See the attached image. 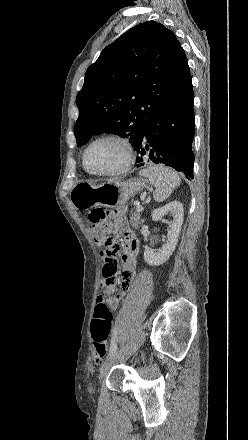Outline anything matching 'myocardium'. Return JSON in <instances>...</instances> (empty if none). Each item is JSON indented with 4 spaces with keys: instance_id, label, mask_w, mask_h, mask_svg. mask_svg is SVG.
I'll use <instances>...</instances> for the list:
<instances>
[{
    "instance_id": "f54148a6",
    "label": "myocardium",
    "mask_w": 248,
    "mask_h": 440,
    "mask_svg": "<svg viewBox=\"0 0 248 440\" xmlns=\"http://www.w3.org/2000/svg\"><path fill=\"white\" fill-rule=\"evenodd\" d=\"M105 140L116 141L123 146V148L125 149L124 161L120 167L113 169V170H110V171H104V172L92 171L89 169V167L87 165V154H88L89 150L96 143L101 142V141H105ZM133 159H134V151H133V148H132L130 141L127 138H125L119 134H114V133L104 134V135H101V136L95 138L86 147V149L83 152V156H82V162H83L84 169L91 175L101 176V177L117 176V175H121V174L127 172L132 165Z\"/></svg>"
}]
</instances>
